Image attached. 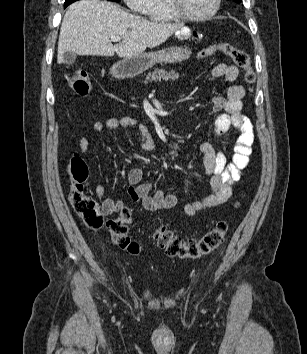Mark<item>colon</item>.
Returning a JSON list of instances; mask_svg holds the SVG:
<instances>
[{
  "label": "colon",
  "instance_id": "obj_1",
  "mask_svg": "<svg viewBox=\"0 0 307 354\" xmlns=\"http://www.w3.org/2000/svg\"><path fill=\"white\" fill-rule=\"evenodd\" d=\"M216 52H222L232 59L234 64L245 73V81L252 85L256 76L251 67L249 54L230 42L214 44L202 49L198 57L206 59ZM71 88L79 95L84 96L89 92V78L84 70L76 69L66 74ZM68 170L71 178L69 201L76 214L92 229L108 230L115 246L130 253H137L139 245L128 235V226L131 222L130 210L123 206L117 212L118 216L105 220L108 214L103 204L100 205L92 196L84 191V184L88 178V167L85 161L74 155L69 161ZM228 225L225 221H219L216 225L200 238L184 241L164 226L154 229L153 237L157 245L165 251L169 257L179 259H199L214 252L225 240Z\"/></svg>",
  "mask_w": 307,
  "mask_h": 354
}]
</instances>
